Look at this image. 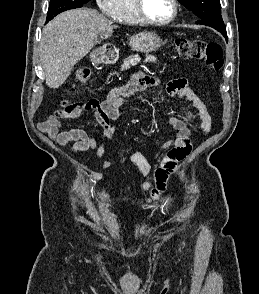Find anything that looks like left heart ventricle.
Listing matches in <instances>:
<instances>
[{"instance_id":"1","label":"left heart ventricle","mask_w":259,"mask_h":294,"mask_svg":"<svg viewBox=\"0 0 259 294\" xmlns=\"http://www.w3.org/2000/svg\"><path fill=\"white\" fill-rule=\"evenodd\" d=\"M144 10L148 17L153 20H166L172 14L170 0H144Z\"/></svg>"}]
</instances>
